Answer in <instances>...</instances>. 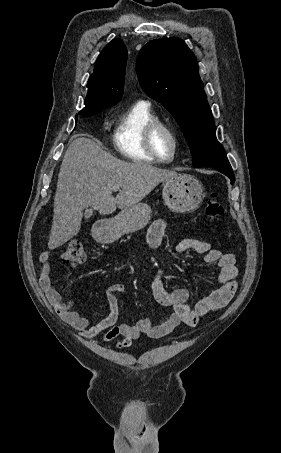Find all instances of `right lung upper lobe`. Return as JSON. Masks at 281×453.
I'll use <instances>...</instances> for the list:
<instances>
[{"label": "right lung upper lobe", "instance_id": "right-lung-upper-lobe-1", "mask_svg": "<svg viewBox=\"0 0 281 453\" xmlns=\"http://www.w3.org/2000/svg\"><path fill=\"white\" fill-rule=\"evenodd\" d=\"M126 62V46L120 39H113L97 58L94 72L87 83L85 107L80 112L99 113L121 100Z\"/></svg>", "mask_w": 281, "mask_h": 453}]
</instances>
